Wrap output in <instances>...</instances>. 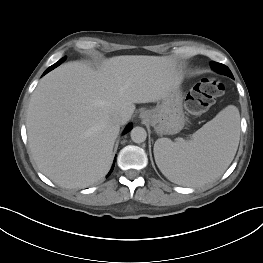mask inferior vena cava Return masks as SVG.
<instances>
[{
	"label": "inferior vena cava",
	"instance_id": "1",
	"mask_svg": "<svg viewBox=\"0 0 263 263\" xmlns=\"http://www.w3.org/2000/svg\"><path fill=\"white\" fill-rule=\"evenodd\" d=\"M113 121L117 124H120V125H123L126 123L127 121V116L126 115H123V114H116L114 117H113Z\"/></svg>",
	"mask_w": 263,
	"mask_h": 263
}]
</instances>
